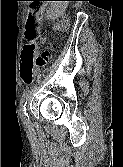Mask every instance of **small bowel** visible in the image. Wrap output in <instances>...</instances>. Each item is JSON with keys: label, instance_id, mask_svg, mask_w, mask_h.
Returning a JSON list of instances; mask_svg holds the SVG:
<instances>
[{"label": "small bowel", "instance_id": "c3829d8e", "mask_svg": "<svg viewBox=\"0 0 123 167\" xmlns=\"http://www.w3.org/2000/svg\"><path fill=\"white\" fill-rule=\"evenodd\" d=\"M42 42H45V39H42Z\"/></svg>", "mask_w": 123, "mask_h": 167}]
</instances>
